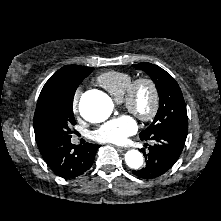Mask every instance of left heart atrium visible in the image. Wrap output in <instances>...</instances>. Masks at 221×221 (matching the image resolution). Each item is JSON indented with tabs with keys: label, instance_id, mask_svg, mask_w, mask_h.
I'll return each mask as SVG.
<instances>
[{
	"label": "left heart atrium",
	"instance_id": "left-heart-atrium-1",
	"mask_svg": "<svg viewBox=\"0 0 221 221\" xmlns=\"http://www.w3.org/2000/svg\"><path fill=\"white\" fill-rule=\"evenodd\" d=\"M136 130V121L129 115H121L102 124L93 136L100 142L123 144Z\"/></svg>",
	"mask_w": 221,
	"mask_h": 221
}]
</instances>
